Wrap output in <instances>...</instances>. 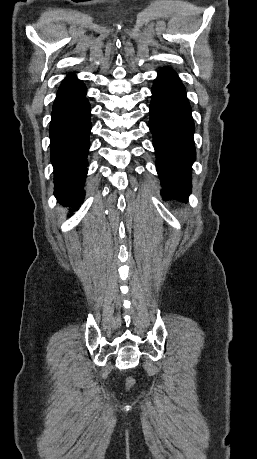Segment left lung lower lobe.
<instances>
[{
    "label": "left lung lower lobe",
    "instance_id": "left-lung-lower-lobe-1",
    "mask_svg": "<svg viewBox=\"0 0 257 459\" xmlns=\"http://www.w3.org/2000/svg\"><path fill=\"white\" fill-rule=\"evenodd\" d=\"M149 128L163 197L186 201L195 160L194 122L185 88L170 68L160 70L153 84Z\"/></svg>",
    "mask_w": 257,
    "mask_h": 459
}]
</instances>
